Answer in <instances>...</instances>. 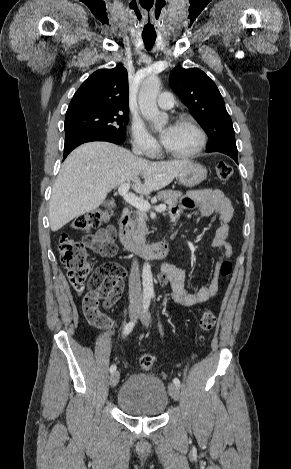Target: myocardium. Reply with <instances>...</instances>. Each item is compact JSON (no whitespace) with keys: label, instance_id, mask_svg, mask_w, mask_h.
Returning a JSON list of instances; mask_svg holds the SVG:
<instances>
[{"label":"myocardium","instance_id":"1","mask_svg":"<svg viewBox=\"0 0 291 469\" xmlns=\"http://www.w3.org/2000/svg\"><path fill=\"white\" fill-rule=\"evenodd\" d=\"M175 124L190 125L197 134V137H198L197 143L195 147L188 152H183V153L174 152V151L167 149L165 146H163V152L166 155L173 157V158H177V159H188L199 154L206 144V134L203 128L199 125V123L193 117L188 116V115H182L178 117Z\"/></svg>","mask_w":291,"mask_h":469}]
</instances>
